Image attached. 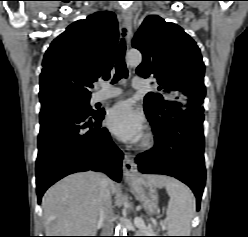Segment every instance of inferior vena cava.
Masks as SVG:
<instances>
[{
	"instance_id": "obj_1",
	"label": "inferior vena cava",
	"mask_w": 248,
	"mask_h": 237,
	"mask_svg": "<svg viewBox=\"0 0 248 237\" xmlns=\"http://www.w3.org/2000/svg\"><path fill=\"white\" fill-rule=\"evenodd\" d=\"M113 217L109 179L107 176L102 175L99 191V222L103 227L102 236H112L114 228Z\"/></svg>"
}]
</instances>
